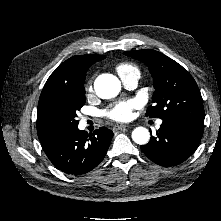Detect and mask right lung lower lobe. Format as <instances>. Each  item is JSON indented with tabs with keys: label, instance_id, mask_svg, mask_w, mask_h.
Here are the masks:
<instances>
[{
	"label": "right lung lower lobe",
	"instance_id": "98d812e1",
	"mask_svg": "<svg viewBox=\"0 0 221 221\" xmlns=\"http://www.w3.org/2000/svg\"><path fill=\"white\" fill-rule=\"evenodd\" d=\"M113 132L106 127L95 130L93 135L78 128L41 141L49 160L58 169L81 175L95 168L105 157Z\"/></svg>",
	"mask_w": 221,
	"mask_h": 221
}]
</instances>
